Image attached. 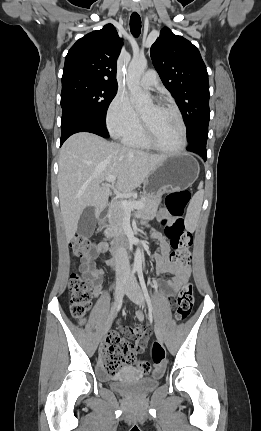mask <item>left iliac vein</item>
<instances>
[{"label": "left iliac vein", "instance_id": "obj_1", "mask_svg": "<svg viewBox=\"0 0 261 431\" xmlns=\"http://www.w3.org/2000/svg\"><path fill=\"white\" fill-rule=\"evenodd\" d=\"M126 289L128 290V295L130 299L138 306L144 308V297L139 284L137 283L135 277L131 279V282L127 284ZM155 334L160 343H163V333L158 325H155Z\"/></svg>", "mask_w": 261, "mask_h": 431}]
</instances>
